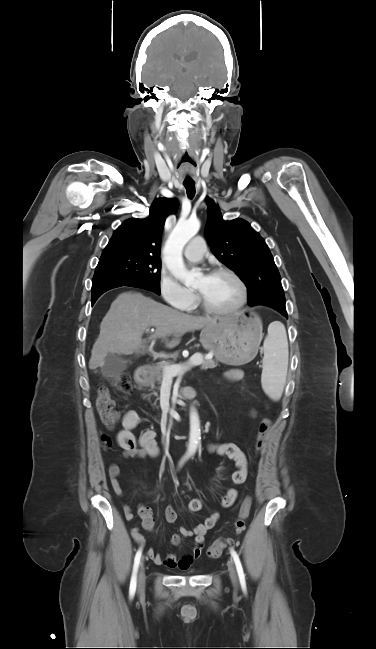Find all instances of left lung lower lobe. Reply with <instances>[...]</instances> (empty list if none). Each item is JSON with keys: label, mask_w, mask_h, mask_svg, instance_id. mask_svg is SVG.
<instances>
[{"label": "left lung lower lobe", "mask_w": 376, "mask_h": 649, "mask_svg": "<svg viewBox=\"0 0 376 649\" xmlns=\"http://www.w3.org/2000/svg\"><path fill=\"white\" fill-rule=\"evenodd\" d=\"M278 311H279L280 313H282L284 316L287 317L286 308H285V309L281 308V309H279Z\"/></svg>", "instance_id": "obj_1"}]
</instances>
